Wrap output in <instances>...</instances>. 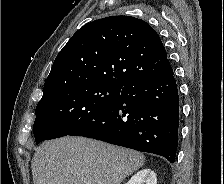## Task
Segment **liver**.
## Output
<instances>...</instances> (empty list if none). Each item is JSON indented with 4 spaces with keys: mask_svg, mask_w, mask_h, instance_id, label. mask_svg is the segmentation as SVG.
I'll use <instances>...</instances> for the list:
<instances>
[{
    "mask_svg": "<svg viewBox=\"0 0 224 184\" xmlns=\"http://www.w3.org/2000/svg\"><path fill=\"white\" fill-rule=\"evenodd\" d=\"M144 162L137 151L66 136L42 143L31 168L34 184H121Z\"/></svg>",
    "mask_w": 224,
    "mask_h": 184,
    "instance_id": "liver-1",
    "label": "liver"
}]
</instances>
